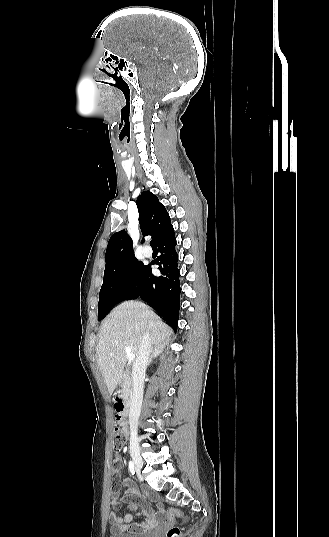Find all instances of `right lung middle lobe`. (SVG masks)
Here are the masks:
<instances>
[{"instance_id": "dd1d6c3e", "label": "right lung middle lobe", "mask_w": 329, "mask_h": 537, "mask_svg": "<svg viewBox=\"0 0 329 537\" xmlns=\"http://www.w3.org/2000/svg\"><path fill=\"white\" fill-rule=\"evenodd\" d=\"M144 268L145 265L136 258L105 267L104 280L99 294V320L103 319L113 306L127 299L136 289Z\"/></svg>"}]
</instances>
